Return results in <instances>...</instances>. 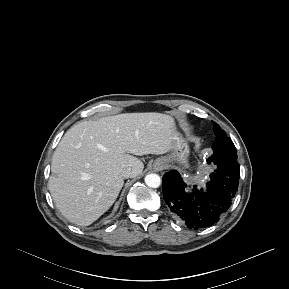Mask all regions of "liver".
<instances>
[{
    "label": "liver",
    "instance_id": "liver-1",
    "mask_svg": "<svg viewBox=\"0 0 289 289\" xmlns=\"http://www.w3.org/2000/svg\"><path fill=\"white\" fill-rule=\"evenodd\" d=\"M178 138L170 116L124 113L73 125L59 142L48 187L59 211L72 223L88 226L115 202L124 184L144 168L137 157L164 154Z\"/></svg>",
    "mask_w": 289,
    "mask_h": 289
}]
</instances>
